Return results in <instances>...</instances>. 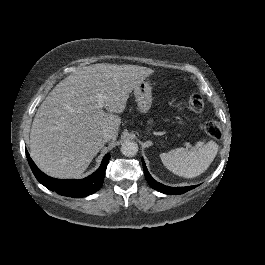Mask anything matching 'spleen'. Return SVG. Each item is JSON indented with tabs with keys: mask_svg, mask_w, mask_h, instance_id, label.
<instances>
[{
	"mask_svg": "<svg viewBox=\"0 0 265 265\" xmlns=\"http://www.w3.org/2000/svg\"><path fill=\"white\" fill-rule=\"evenodd\" d=\"M197 146L198 151L179 147L162 153L161 160L173 173L185 178H196L210 167L218 153V146L214 143H198Z\"/></svg>",
	"mask_w": 265,
	"mask_h": 265,
	"instance_id": "spleen-1",
	"label": "spleen"
}]
</instances>
